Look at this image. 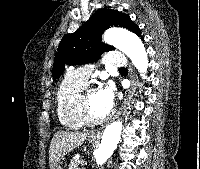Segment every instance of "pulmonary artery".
I'll return each instance as SVG.
<instances>
[{
  "instance_id": "1",
  "label": "pulmonary artery",
  "mask_w": 200,
  "mask_h": 169,
  "mask_svg": "<svg viewBox=\"0 0 200 169\" xmlns=\"http://www.w3.org/2000/svg\"><path fill=\"white\" fill-rule=\"evenodd\" d=\"M105 62L110 65L117 66V67L123 66L126 63L123 54L117 50L109 53L105 59ZM92 69H93L92 65H83V66L79 67L78 69L69 72L68 76L70 78L76 80L77 82H80V83L86 85L87 81L89 79V76L92 72Z\"/></svg>"
}]
</instances>
